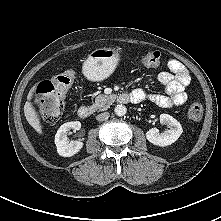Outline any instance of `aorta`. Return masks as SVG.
<instances>
[{"label": "aorta", "instance_id": "aorta-1", "mask_svg": "<svg viewBox=\"0 0 221 221\" xmlns=\"http://www.w3.org/2000/svg\"><path fill=\"white\" fill-rule=\"evenodd\" d=\"M117 116H124L127 113V108L124 105H117L114 109Z\"/></svg>", "mask_w": 221, "mask_h": 221}]
</instances>
